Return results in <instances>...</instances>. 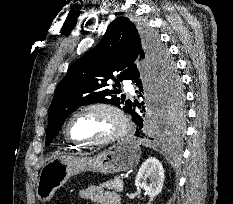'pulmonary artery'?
I'll list each match as a JSON object with an SVG mask.
<instances>
[{"instance_id": "obj_1", "label": "pulmonary artery", "mask_w": 233, "mask_h": 204, "mask_svg": "<svg viewBox=\"0 0 233 204\" xmlns=\"http://www.w3.org/2000/svg\"><path fill=\"white\" fill-rule=\"evenodd\" d=\"M124 88H125V90H127V91H130V92H132L133 91V87H132V85H131V82L130 81H124Z\"/></svg>"}]
</instances>
